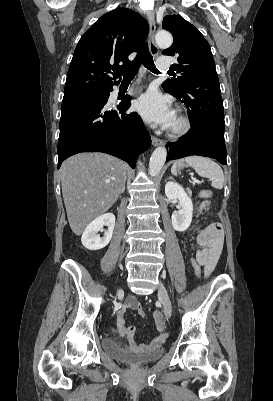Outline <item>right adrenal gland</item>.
Listing matches in <instances>:
<instances>
[{
	"instance_id": "1",
	"label": "right adrenal gland",
	"mask_w": 273,
	"mask_h": 401,
	"mask_svg": "<svg viewBox=\"0 0 273 401\" xmlns=\"http://www.w3.org/2000/svg\"><path fill=\"white\" fill-rule=\"evenodd\" d=\"M124 182H126V178H125ZM124 188H125V184H124Z\"/></svg>"
}]
</instances>
